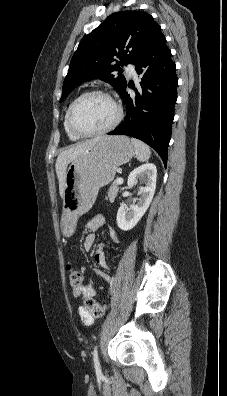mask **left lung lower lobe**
<instances>
[{"mask_svg":"<svg viewBox=\"0 0 227 396\" xmlns=\"http://www.w3.org/2000/svg\"><path fill=\"white\" fill-rule=\"evenodd\" d=\"M133 64L141 75V89L136 91L135 98L126 92L127 85L120 93L127 114L124 121L108 134L142 140L160 155L166 166L178 79L165 37H160Z\"/></svg>","mask_w":227,"mask_h":396,"instance_id":"0a47b994","label":"left lung lower lobe"}]
</instances>
